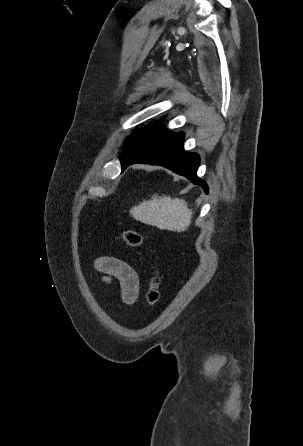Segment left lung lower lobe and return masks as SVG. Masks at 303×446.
Instances as JSON below:
<instances>
[{
  "label": "left lung lower lobe",
  "instance_id": "0a47b994",
  "mask_svg": "<svg viewBox=\"0 0 303 446\" xmlns=\"http://www.w3.org/2000/svg\"><path fill=\"white\" fill-rule=\"evenodd\" d=\"M184 137L185 135L180 132L158 141L139 155L126 160L122 164V171L129 165L136 163L161 165L185 176L194 184L201 185L204 191L208 193L206 182L200 180L196 175L200 163L199 157L195 153L184 151Z\"/></svg>",
  "mask_w": 303,
  "mask_h": 446
}]
</instances>
